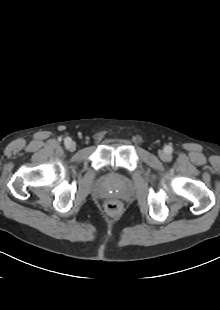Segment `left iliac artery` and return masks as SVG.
Returning <instances> with one entry per match:
<instances>
[{
    "mask_svg": "<svg viewBox=\"0 0 220 310\" xmlns=\"http://www.w3.org/2000/svg\"><path fill=\"white\" fill-rule=\"evenodd\" d=\"M166 149H167V151H168V152H170V151H171V147H170V146H167V148H166Z\"/></svg>",
    "mask_w": 220,
    "mask_h": 310,
    "instance_id": "obj_1",
    "label": "left iliac artery"
}]
</instances>
